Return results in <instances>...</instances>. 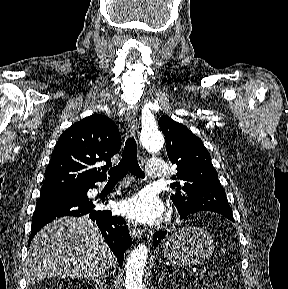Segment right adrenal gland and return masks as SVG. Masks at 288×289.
Wrapping results in <instances>:
<instances>
[{
  "label": "right adrenal gland",
  "mask_w": 288,
  "mask_h": 289,
  "mask_svg": "<svg viewBox=\"0 0 288 289\" xmlns=\"http://www.w3.org/2000/svg\"><path fill=\"white\" fill-rule=\"evenodd\" d=\"M92 281H94L100 289H106V280H105V274L102 272L100 275H97L96 277L92 278Z\"/></svg>",
  "instance_id": "right-adrenal-gland-1"
}]
</instances>
